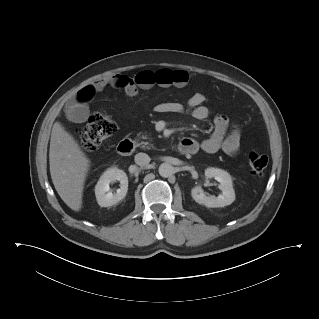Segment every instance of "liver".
Listing matches in <instances>:
<instances>
[{"instance_id":"6515ba94","label":"liver","mask_w":319,"mask_h":319,"mask_svg":"<svg viewBox=\"0 0 319 319\" xmlns=\"http://www.w3.org/2000/svg\"><path fill=\"white\" fill-rule=\"evenodd\" d=\"M49 164L52 182L59 196L69 208L79 211L90 160L59 122L52 128Z\"/></svg>"}]
</instances>
